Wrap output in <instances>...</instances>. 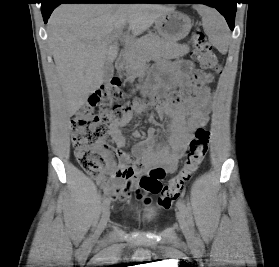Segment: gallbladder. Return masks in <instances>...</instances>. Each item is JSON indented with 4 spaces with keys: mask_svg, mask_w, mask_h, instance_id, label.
<instances>
[{
    "mask_svg": "<svg viewBox=\"0 0 279 267\" xmlns=\"http://www.w3.org/2000/svg\"><path fill=\"white\" fill-rule=\"evenodd\" d=\"M114 74L113 63L110 61H106L103 67V82L106 84L110 81Z\"/></svg>",
    "mask_w": 279,
    "mask_h": 267,
    "instance_id": "obj_1",
    "label": "gallbladder"
}]
</instances>
